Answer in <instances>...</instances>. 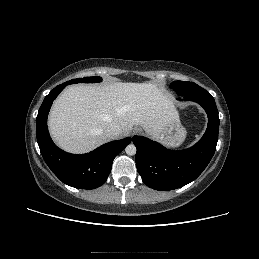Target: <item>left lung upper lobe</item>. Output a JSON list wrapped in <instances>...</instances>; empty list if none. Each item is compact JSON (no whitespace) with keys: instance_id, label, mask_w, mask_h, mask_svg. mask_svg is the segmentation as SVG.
I'll return each instance as SVG.
<instances>
[{"instance_id":"1","label":"left lung upper lobe","mask_w":259,"mask_h":259,"mask_svg":"<svg viewBox=\"0 0 259 259\" xmlns=\"http://www.w3.org/2000/svg\"><path fill=\"white\" fill-rule=\"evenodd\" d=\"M170 88L174 89L179 96H186L191 94L205 93V89L193 82L174 81L170 84Z\"/></svg>"}]
</instances>
